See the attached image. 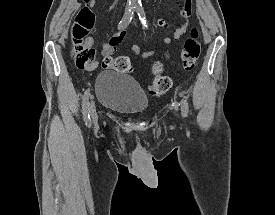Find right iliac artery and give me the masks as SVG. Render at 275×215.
<instances>
[{
  "label": "right iliac artery",
  "mask_w": 275,
  "mask_h": 215,
  "mask_svg": "<svg viewBox=\"0 0 275 215\" xmlns=\"http://www.w3.org/2000/svg\"><path fill=\"white\" fill-rule=\"evenodd\" d=\"M135 7H130L126 14L123 16L122 20L118 24V29H123L128 26L133 18ZM91 96L90 90L87 89L83 95L82 99V109L83 117L86 121V125L90 126V114H89V97Z\"/></svg>",
  "instance_id": "obj_1"
}]
</instances>
